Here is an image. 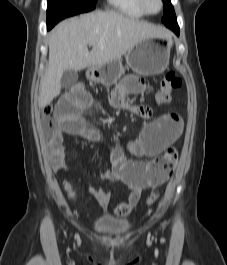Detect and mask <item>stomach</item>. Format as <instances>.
Returning a JSON list of instances; mask_svg holds the SVG:
<instances>
[{
    "mask_svg": "<svg viewBox=\"0 0 227 265\" xmlns=\"http://www.w3.org/2000/svg\"><path fill=\"white\" fill-rule=\"evenodd\" d=\"M171 45L159 38H147L134 45L126 53V66L119 60L111 61L101 66H94L87 70L89 80L105 86L114 85L131 68L143 76L157 75L165 71L169 65Z\"/></svg>",
    "mask_w": 227,
    "mask_h": 265,
    "instance_id": "0dacf381",
    "label": "stomach"
}]
</instances>
